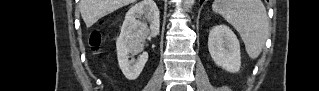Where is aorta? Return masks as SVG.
Segmentation results:
<instances>
[{"instance_id":"762f6f07","label":"aorta","mask_w":319,"mask_h":91,"mask_svg":"<svg viewBox=\"0 0 319 91\" xmlns=\"http://www.w3.org/2000/svg\"><path fill=\"white\" fill-rule=\"evenodd\" d=\"M195 0H185L184 7L185 10H189V8L194 4Z\"/></svg>"}]
</instances>
